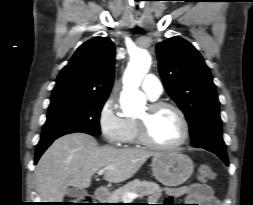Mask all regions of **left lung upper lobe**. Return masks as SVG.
<instances>
[{"instance_id": "left-lung-upper-lobe-1", "label": "left lung upper lobe", "mask_w": 253, "mask_h": 205, "mask_svg": "<svg viewBox=\"0 0 253 205\" xmlns=\"http://www.w3.org/2000/svg\"><path fill=\"white\" fill-rule=\"evenodd\" d=\"M156 52L164 87L190 124L191 145L225 150L215 85L199 52L180 37L159 43Z\"/></svg>"}]
</instances>
